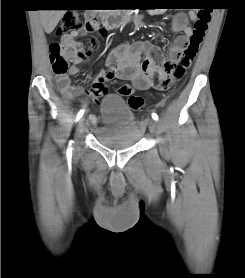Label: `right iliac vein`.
Listing matches in <instances>:
<instances>
[{"mask_svg": "<svg viewBox=\"0 0 245 278\" xmlns=\"http://www.w3.org/2000/svg\"><path fill=\"white\" fill-rule=\"evenodd\" d=\"M84 128H85L84 118H81L78 122L77 129H76V142L73 147L75 152L79 151V149H80L79 138H80L81 134L84 132Z\"/></svg>", "mask_w": 245, "mask_h": 278, "instance_id": "obj_1", "label": "right iliac vein"}]
</instances>
